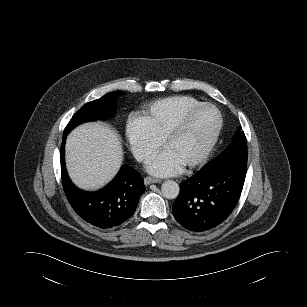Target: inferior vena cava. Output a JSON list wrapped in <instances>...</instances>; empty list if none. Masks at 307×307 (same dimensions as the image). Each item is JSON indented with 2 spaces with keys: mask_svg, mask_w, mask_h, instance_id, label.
Listing matches in <instances>:
<instances>
[{
  "mask_svg": "<svg viewBox=\"0 0 307 307\" xmlns=\"http://www.w3.org/2000/svg\"><path fill=\"white\" fill-rule=\"evenodd\" d=\"M140 160H143V157H140Z\"/></svg>",
  "mask_w": 307,
  "mask_h": 307,
  "instance_id": "1",
  "label": "inferior vena cava"
}]
</instances>
